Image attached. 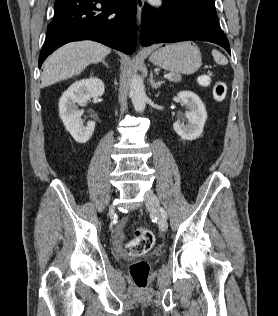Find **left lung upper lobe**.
<instances>
[{
    "label": "left lung upper lobe",
    "instance_id": "left-lung-upper-lobe-1",
    "mask_svg": "<svg viewBox=\"0 0 278 316\" xmlns=\"http://www.w3.org/2000/svg\"><path fill=\"white\" fill-rule=\"evenodd\" d=\"M176 8L193 12L199 15H202L206 18H209L217 23L218 17L214 5V0H167Z\"/></svg>",
    "mask_w": 278,
    "mask_h": 316
}]
</instances>
